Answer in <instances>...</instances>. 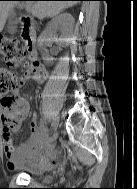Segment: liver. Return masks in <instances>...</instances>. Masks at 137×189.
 <instances>
[{"label":"liver","instance_id":"6515ba94","mask_svg":"<svg viewBox=\"0 0 137 189\" xmlns=\"http://www.w3.org/2000/svg\"><path fill=\"white\" fill-rule=\"evenodd\" d=\"M76 1H27L24 5L40 19L54 17L62 10L72 7ZM17 5L15 1H0V32H2L9 12Z\"/></svg>","mask_w":137,"mask_h":189}]
</instances>
